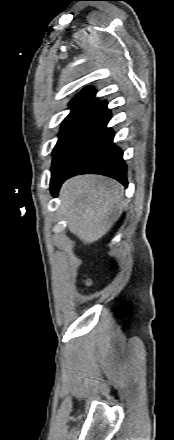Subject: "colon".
I'll use <instances>...</instances> for the list:
<instances>
[{
	"mask_svg": "<svg viewBox=\"0 0 174 440\" xmlns=\"http://www.w3.org/2000/svg\"><path fill=\"white\" fill-rule=\"evenodd\" d=\"M93 285H94L93 279L91 277H87L86 280H85V286L86 287H91Z\"/></svg>",
	"mask_w": 174,
	"mask_h": 440,
	"instance_id": "obj_1",
	"label": "colon"
}]
</instances>
